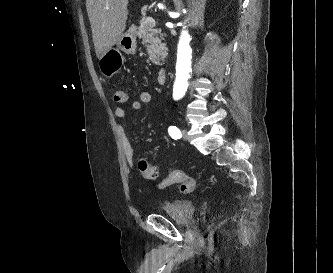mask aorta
Returning <instances> with one entry per match:
<instances>
[{
    "label": "aorta",
    "instance_id": "aorta-1",
    "mask_svg": "<svg viewBox=\"0 0 333 273\" xmlns=\"http://www.w3.org/2000/svg\"><path fill=\"white\" fill-rule=\"evenodd\" d=\"M190 40L191 38L188 31L183 27L177 48L176 80L173 93L175 99L183 97L187 91L189 73L191 70Z\"/></svg>",
    "mask_w": 333,
    "mask_h": 273
}]
</instances>
